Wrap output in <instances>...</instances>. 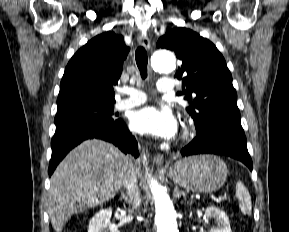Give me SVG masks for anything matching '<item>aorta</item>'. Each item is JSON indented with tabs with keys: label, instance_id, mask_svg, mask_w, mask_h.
I'll use <instances>...</instances> for the list:
<instances>
[{
	"label": "aorta",
	"instance_id": "1",
	"mask_svg": "<svg viewBox=\"0 0 289 232\" xmlns=\"http://www.w3.org/2000/svg\"><path fill=\"white\" fill-rule=\"evenodd\" d=\"M151 66L156 72L171 73L176 68L175 56L165 50L155 51L151 58ZM150 187L155 202L157 232H179L177 215L166 190L153 179L150 181Z\"/></svg>",
	"mask_w": 289,
	"mask_h": 232
}]
</instances>
